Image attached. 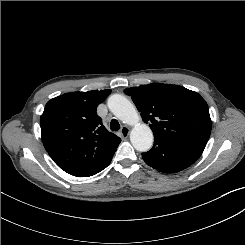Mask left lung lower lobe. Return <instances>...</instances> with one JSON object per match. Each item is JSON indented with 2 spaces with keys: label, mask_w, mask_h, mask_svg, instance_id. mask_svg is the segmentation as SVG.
I'll list each match as a JSON object with an SVG mask.
<instances>
[{
  "label": "left lung lower lobe",
  "mask_w": 245,
  "mask_h": 245,
  "mask_svg": "<svg viewBox=\"0 0 245 245\" xmlns=\"http://www.w3.org/2000/svg\"><path fill=\"white\" fill-rule=\"evenodd\" d=\"M153 148L142 153L143 160L163 173L179 172L192 165L203 151L181 143L154 138Z\"/></svg>",
  "instance_id": "left-lung-lower-lobe-1"
}]
</instances>
